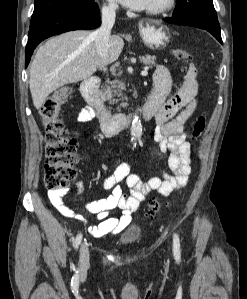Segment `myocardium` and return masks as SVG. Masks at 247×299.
I'll use <instances>...</instances> for the list:
<instances>
[{
    "instance_id": "obj_1",
    "label": "myocardium",
    "mask_w": 247,
    "mask_h": 299,
    "mask_svg": "<svg viewBox=\"0 0 247 299\" xmlns=\"http://www.w3.org/2000/svg\"><path fill=\"white\" fill-rule=\"evenodd\" d=\"M174 3V0H160L147 7V13L149 14H160L169 10Z\"/></svg>"
}]
</instances>
